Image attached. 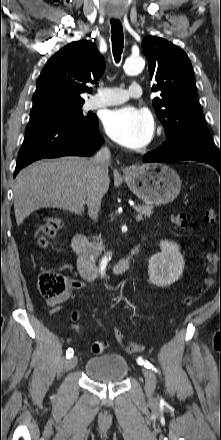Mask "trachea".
I'll return each mask as SVG.
<instances>
[{
    "mask_svg": "<svg viewBox=\"0 0 221 440\" xmlns=\"http://www.w3.org/2000/svg\"><path fill=\"white\" fill-rule=\"evenodd\" d=\"M111 27H112V51L115 61L118 63L121 59V54L123 51V28L119 20L111 19Z\"/></svg>",
    "mask_w": 221,
    "mask_h": 440,
    "instance_id": "obj_1",
    "label": "trachea"
}]
</instances>
